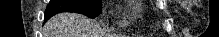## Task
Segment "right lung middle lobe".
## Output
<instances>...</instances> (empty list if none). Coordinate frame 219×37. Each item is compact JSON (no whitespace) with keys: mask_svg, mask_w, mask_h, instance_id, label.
Listing matches in <instances>:
<instances>
[{"mask_svg":"<svg viewBox=\"0 0 219 37\" xmlns=\"http://www.w3.org/2000/svg\"><path fill=\"white\" fill-rule=\"evenodd\" d=\"M61 12H74L95 18L102 12L99 0H52L47 6L45 16Z\"/></svg>","mask_w":219,"mask_h":37,"instance_id":"obj_1","label":"right lung middle lobe"}]
</instances>
